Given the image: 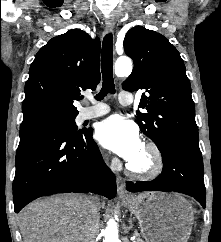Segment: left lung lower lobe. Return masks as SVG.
<instances>
[{"label": "left lung lower lobe", "mask_w": 221, "mask_h": 242, "mask_svg": "<svg viewBox=\"0 0 221 242\" xmlns=\"http://www.w3.org/2000/svg\"><path fill=\"white\" fill-rule=\"evenodd\" d=\"M163 171L149 182H127L131 192L175 191L194 197L203 208L206 206V192L203 179V160L198 141L173 138L160 150Z\"/></svg>", "instance_id": "obj_1"}]
</instances>
